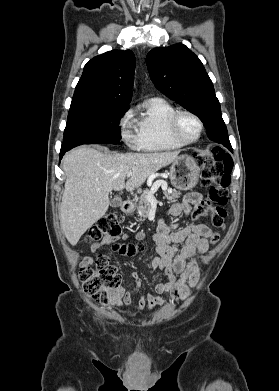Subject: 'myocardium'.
Returning a JSON list of instances; mask_svg holds the SVG:
<instances>
[{"instance_id": "myocardium-1", "label": "myocardium", "mask_w": 279, "mask_h": 391, "mask_svg": "<svg viewBox=\"0 0 279 391\" xmlns=\"http://www.w3.org/2000/svg\"><path fill=\"white\" fill-rule=\"evenodd\" d=\"M183 115H188V116L192 117L197 122V124L199 126L198 135L193 140L185 139L179 132V122H180V119ZM203 130H204V124H203L201 118L196 113H194L193 111L188 110V109H177L172 114V116L169 120V131H170L171 137L175 141H177L178 143H180L184 146L196 143L201 138Z\"/></svg>"}]
</instances>
